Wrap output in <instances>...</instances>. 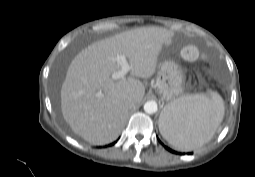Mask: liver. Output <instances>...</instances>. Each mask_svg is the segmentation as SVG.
<instances>
[{"label":"liver","instance_id":"liver-1","mask_svg":"<svg viewBox=\"0 0 255 177\" xmlns=\"http://www.w3.org/2000/svg\"><path fill=\"white\" fill-rule=\"evenodd\" d=\"M172 36L165 28L144 27L82 50L71 62L61 88L62 114L74 133L93 145L116 140L128 116L126 100L132 98L138 104L145 94L137 78H149L156 72L163 44ZM117 55L126 56L132 68L129 77L114 80L112 74L120 70ZM164 116L165 110L160 118Z\"/></svg>","mask_w":255,"mask_h":177}]
</instances>
